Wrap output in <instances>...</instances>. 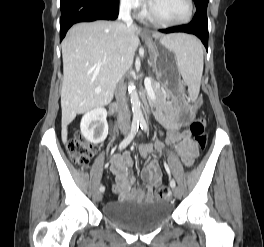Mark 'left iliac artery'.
<instances>
[{
  "label": "left iliac artery",
  "instance_id": "1",
  "mask_svg": "<svg viewBox=\"0 0 264 247\" xmlns=\"http://www.w3.org/2000/svg\"><path fill=\"white\" fill-rule=\"evenodd\" d=\"M140 127L145 132L148 131V126H147V123H146V121L144 119L140 120ZM165 168H166L167 172L170 173V169H169L168 165H165ZM170 186L172 188H174L176 186V183H175V181L173 179L170 181Z\"/></svg>",
  "mask_w": 264,
  "mask_h": 247
}]
</instances>
